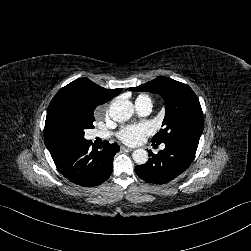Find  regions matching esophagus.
Wrapping results in <instances>:
<instances>
[{
    "label": "esophagus",
    "instance_id": "34e87169",
    "mask_svg": "<svg viewBox=\"0 0 251 251\" xmlns=\"http://www.w3.org/2000/svg\"><path fill=\"white\" fill-rule=\"evenodd\" d=\"M120 150L125 151V150H129L132 151V148L126 147V146H120Z\"/></svg>",
    "mask_w": 251,
    "mask_h": 251
}]
</instances>
